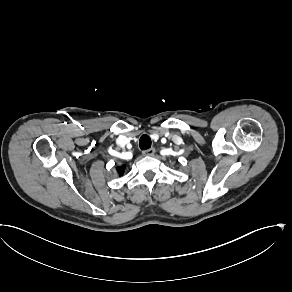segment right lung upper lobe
<instances>
[{
	"instance_id": "cb5924a9",
	"label": "right lung upper lobe",
	"mask_w": 292,
	"mask_h": 292,
	"mask_svg": "<svg viewBox=\"0 0 292 292\" xmlns=\"http://www.w3.org/2000/svg\"><path fill=\"white\" fill-rule=\"evenodd\" d=\"M124 169H125V166H119V167H117V172H118L119 176H122L123 175Z\"/></svg>"
}]
</instances>
